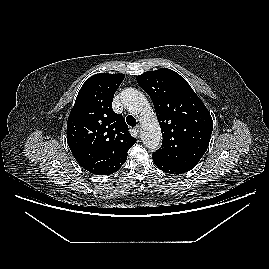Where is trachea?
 Returning a JSON list of instances; mask_svg holds the SVG:
<instances>
[{
  "label": "trachea",
  "instance_id": "1",
  "mask_svg": "<svg viewBox=\"0 0 269 269\" xmlns=\"http://www.w3.org/2000/svg\"><path fill=\"white\" fill-rule=\"evenodd\" d=\"M126 122L128 123L129 126L134 127L136 126L137 122L136 119L132 115H128L126 118Z\"/></svg>",
  "mask_w": 269,
  "mask_h": 269
}]
</instances>
